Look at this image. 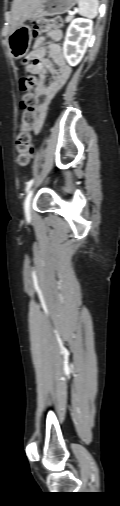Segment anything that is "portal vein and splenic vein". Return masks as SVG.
<instances>
[{
  "label": "portal vein and splenic vein",
  "instance_id": "obj_1",
  "mask_svg": "<svg viewBox=\"0 0 120 506\" xmlns=\"http://www.w3.org/2000/svg\"><path fill=\"white\" fill-rule=\"evenodd\" d=\"M74 13H75V12H73V11H69V14H70V15H73Z\"/></svg>",
  "mask_w": 120,
  "mask_h": 506
}]
</instances>
